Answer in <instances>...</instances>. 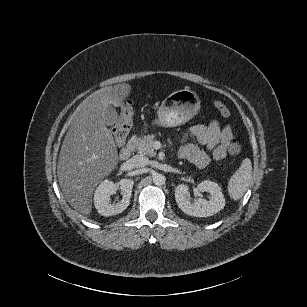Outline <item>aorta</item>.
Returning a JSON list of instances; mask_svg holds the SVG:
<instances>
[{"mask_svg":"<svg viewBox=\"0 0 307 307\" xmlns=\"http://www.w3.org/2000/svg\"><path fill=\"white\" fill-rule=\"evenodd\" d=\"M153 182L157 186L164 185L166 182V177L163 174L155 173L153 175Z\"/></svg>","mask_w":307,"mask_h":307,"instance_id":"obj_1","label":"aorta"}]
</instances>
